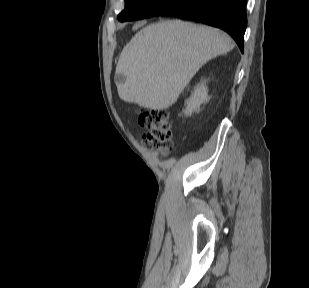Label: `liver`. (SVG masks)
Listing matches in <instances>:
<instances>
[{
    "label": "liver",
    "mask_w": 309,
    "mask_h": 288,
    "mask_svg": "<svg viewBox=\"0 0 309 288\" xmlns=\"http://www.w3.org/2000/svg\"><path fill=\"white\" fill-rule=\"evenodd\" d=\"M233 48L232 39L213 27L181 20L148 25L120 54L119 97L148 109H167L203 65Z\"/></svg>",
    "instance_id": "6515ba94"
}]
</instances>
